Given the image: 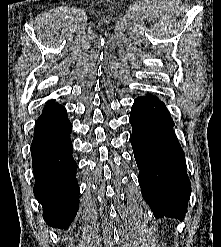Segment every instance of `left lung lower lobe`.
<instances>
[{"mask_svg":"<svg viewBox=\"0 0 221 247\" xmlns=\"http://www.w3.org/2000/svg\"><path fill=\"white\" fill-rule=\"evenodd\" d=\"M129 121L143 198L156 218L183 219L191 187L170 113L163 102L148 94L135 99Z\"/></svg>","mask_w":221,"mask_h":247,"instance_id":"0a47b994","label":"left lung lower lobe"}]
</instances>
